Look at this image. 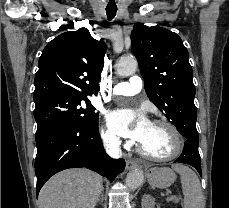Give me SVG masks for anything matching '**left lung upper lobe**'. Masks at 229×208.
<instances>
[{
  "mask_svg": "<svg viewBox=\"0 0 229 208\" xmlns=\"http://www.w3.org/2000/svg\"><path fill=\"white\" fill-rule=\"evenodd\" d=\"M131 49L149 99L182 135L188 129L196 130L193 72L181 38L165 28L136 23Z\"/></svg>",
  "mask_w": 229,
  "mask_h": 208,
  "instance_id": "obj_1",
  "label": "left lung upper lobe"
}]
</instances>
